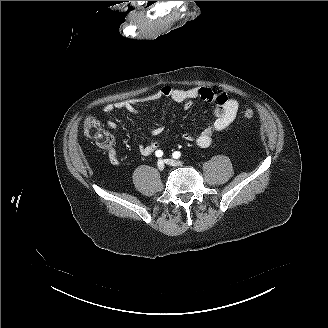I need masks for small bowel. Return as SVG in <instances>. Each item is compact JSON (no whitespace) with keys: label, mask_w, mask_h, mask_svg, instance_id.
Instances as JSON below:
<instances>
[{"label":"small bowel","mask_w":328,"mask_h":328,"mask_svg":"<svg viewBox=\"0 0 328 328\" xmlns=\"http://www.w3.org/2000/svg\"><path fill=\"white\" fill-rule=\"evenodd\" d=\"M166 98L177 103H183L185 109H190L191 102L196 99H201L215 105L213 110L214 119L210 125H208L196 136L189 132H185L182 135V138L185 141H195L201 148L209 147L212 143L213 134L215 132L227 129L232 124L239 109L238 101L236 99L229 98L223 91L212 90L205 87L180 89L172 86H163L160 90L149 96L129 98L126 100L109 103L104 106L103 111L105 113H110L114 110H126L137 113L140 105L150 101H157ZM107 127L114 129L116 127V123L109 120L107 122ZM150 132L152 135L158 136L164 132V128L160 126L152 127ZM158 148L159 143L152 141L147 144H141L139 146V152L142 156H149L156 152ZM107 155L109 162L112 165L118 166L121 164L122 161L114 147L110 146L107 148Z\"/></svg>","instance_id":"c3829d8e"}]
</instances>
